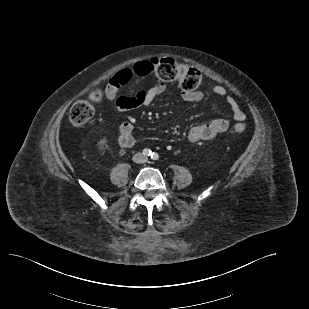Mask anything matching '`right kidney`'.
Instances as JSON below:
<instances>
[{
  "label": "right kidney",
  "instance_id": "ca27d5eb",
  "mask_svg": "<svg viewBox=\"0 0 309 309\" xmlns=\"http://www.w3.org/2000/svg\"><path fill=\"white\" fill-rule=\"evenodd\" d=\"M98 146L100 150H103L104 142L103 141L99 142Z\"/></svg>",
  "mask_w": 309,
  "mask_h": 309
}]
</instances>
